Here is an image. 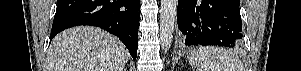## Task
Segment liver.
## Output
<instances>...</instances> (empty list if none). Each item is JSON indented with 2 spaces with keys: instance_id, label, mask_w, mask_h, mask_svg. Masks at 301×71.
Segmentation results:
<instances>
[{
  "instance_id": "6515ba94",
  "label": "liver",
  "mask_w": 301,
  "mask_h": 71,
  "mask_svg": "<svg viewBox=\"0 0 301 71\" xmlns=\"http://www.w3.org/2000/svg\"><path fill=\"white\" fill-rule=\"evenodd\" d=\"M130 54L112 34L90 26L58 34L48 50V71H123Z\"/></svg>"
}]
</instances>
